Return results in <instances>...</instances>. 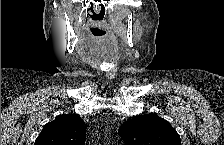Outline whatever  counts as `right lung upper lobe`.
<instances>
[{"label":"right lung upper lobe","mask_w":224,"mask_h":145,"mask_svg":"<svg viewBox=\"0 0 224 145\" xmlns=\"http://www.w3.org/2000/svg\"><path fill=\"white\" fill-rule=\"evenodd\" d=\"M85 137L83 120L77 115L64 114L43 127L35 145H83Z\"/></svg>","instance_id":"obj_1"}]
</instances>
